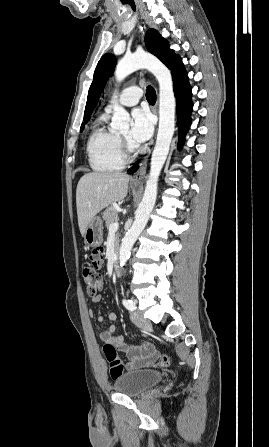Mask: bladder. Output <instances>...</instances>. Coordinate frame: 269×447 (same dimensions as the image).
Returning <instances> with one entry per match:
<instances>
[{"label":"bladder","instance_id":"1","mask_svg":"<svg viewBox=\"0 0 269 447\" xmlns=\"http://www.w3.org/2000/svg\"><path fill=\"white\" fill-rule=\"evenodd\" d=\"M163 377L164 373L157 369L120 372L113 383V390L121 395L140 396L144 389L155 386Z\"/></svg>","mask_w":269,"mask_h":447}]
</instances>
